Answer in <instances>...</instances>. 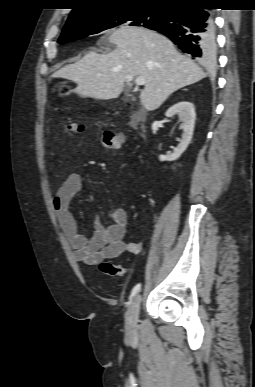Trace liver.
<instances>
[{"instance_id":"obj_1","label":"liver","mask_w":255,"mask_h":387,"mask_svg":"<svg viewBox=\"0 0 255 387\" xmlns=\"http://www.w3.org/2000/svg\"><path fill=\"white\" fill-rule=\"evenodd\" d=\"M108 40L116 45L113 51H90L54 76L75 82V93L102 100L117 98L127 77H144L140 101L147 111L158 109L172 93L206 77L196 63L155 31L123 27L113 31Z\"/></svg>"}]
</instances>
